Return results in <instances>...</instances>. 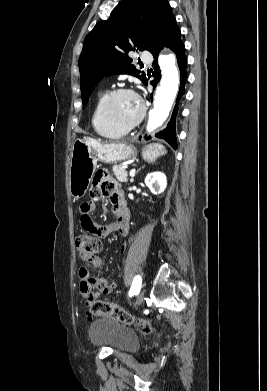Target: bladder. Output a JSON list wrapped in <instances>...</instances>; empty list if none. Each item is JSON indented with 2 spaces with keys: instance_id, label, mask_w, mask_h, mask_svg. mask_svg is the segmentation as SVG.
Masks as SVG:
<instances>
[{
  "instance_id": "bladder-1",
  "label": "bladder",
  "mask_w": 267,
  "mask_h": 391,
  "mask_svg": "<svg viewBox=\"0 0 267 391\" xmlns=\"http://www.w3.org/2000/svg\"><path fill=\"white\" fill-rule=\"evenodd\" d=\"M89 338L93 344L108 346L115 351H134L138 347V337L133 330L107 317L91 323Z\"/></svg>"
}]
</instances>
